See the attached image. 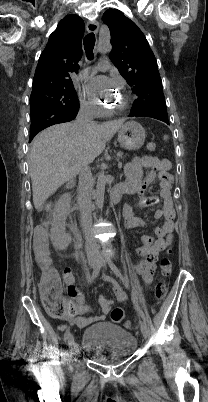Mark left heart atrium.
Instances as JSON below:
<instances>
[{
  "label": "left heart atrium",
  "instance_id": "1",
  "mask_svg": "<svg viewBox=\"0 0 208 402\" xmlns=\"http://www.w3.org/2000/svg\"><path fill=\"white\" fill-rule=\"evenodd\" d=\"M109 84V79L105 76L98 75L91 77L88 80L87 84V92L88 96L93 97L92 93L97 92V90L103 86H106Z\"/></svg>",
  "mask_w": 208,
  "mask_h": 402
}]
</instances>
